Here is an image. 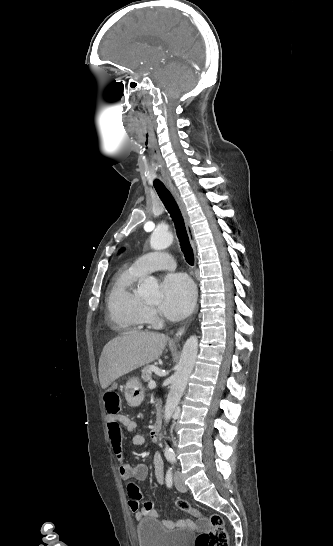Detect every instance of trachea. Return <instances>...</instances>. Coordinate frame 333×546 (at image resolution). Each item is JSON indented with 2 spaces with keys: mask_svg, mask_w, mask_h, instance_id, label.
Listing matches in <instances>:
<instances>
[{
  "mask_svg": "<svg viewBox=\"0 0 333 546\" xmlns=\"http://www.w3.org/2000/svg\"><path fill=\"white\" fill-rule=\"evenodd\" d=\"M154 188L157 194L159 195L161 201L165 205L167 211L170 213L172 220L174 221L177 236L180 241V246L184 254V257L187 263L193 266L194 265L193 250L189 242V238L187 235V231H186V227H185V223H184V219L181 214V211L175 199L173 198V196L171 195V193L165 187L164 184L156 183L154 184Z\"/></svg>",
  "mask_w": 333,
  "mask_h": 546,
  "instance_id": "trachea-1",
  "label": "trachea"
}]
</instances>
